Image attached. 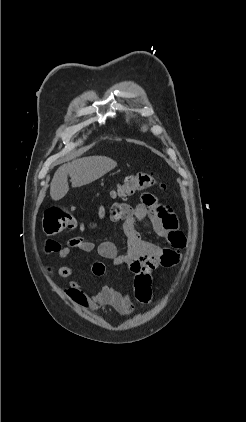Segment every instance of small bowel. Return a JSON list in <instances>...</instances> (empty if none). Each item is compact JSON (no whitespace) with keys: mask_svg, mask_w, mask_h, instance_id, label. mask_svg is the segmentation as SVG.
<instances>
[{"mask_svg":"<svg viewBox=\"0 0 246 422\" xmlns=\"http://www.w3.org/2000/svg\"><path fill=\"white\" fill-rule=\"evenodd\" d=\"M144 218L148 219L155 234L165 240L169 247L146 241L141 237L135 223L137 219ZM109 220L123 221V231L127 238L125 253L120 254L111 241L95 245L80 236L72 237L64 247L54 240H48L45 244L46 253H56L59 259H66L75 249L85 253L97 251L102 258L110 260L116 266L128 267L134 273L136 266L144 259L156 258L166 249L179 251L185 247L186 238L179 229L177 217L169 206L159 205L152 194H145L142 202L133 206L114 204L109 211ZM104 269L101 261L92 264V272L96 276L103 275ZM49 272L55 278H69L75 275V269L71 266H61L56 271L49 269ZM66 293L76 303L93 310L111 307L121 315L128 316L134 309V302L127 294L109 285L102 286L95 294H88L73 280L70 281Z\"/></svg>","mask_w":246,"mask_h":422,"instance_id":"1","label":"small bowel"}]
</instances>
